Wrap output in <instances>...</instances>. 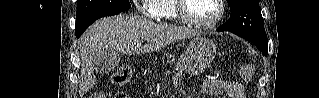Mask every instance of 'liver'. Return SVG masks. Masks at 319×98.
<instances>
[{
	"instance_id": "1",
	"label": "liver",
	"mask_w": 319,
	"mask_h": 98,
	"mask_svg": "<svg viewBox=\"0 0 319 98\" xmlns=\"http://www.w3.org/2000/svg\"><path fill=\"white\" fill-rule=\"evenodd\" d=\"M189 28L156 24L133 14L102 18L92 24L80 38L81 79L79 95L91 90L96 83L93 60L103 50L134 55L158 51L176 40L199 36ZM143 41H150L142 45Z\"/></svg>"
}]
</instances>
